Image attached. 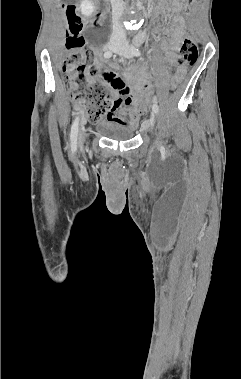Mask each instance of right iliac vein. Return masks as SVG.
Listing matches in <instances>:
<instances>
[{"mask_svg": "<svg viewBox=\"0 0 241 379\" xmlns=\"http://www.w3.org/2000/svg\"><path fill=\"white\" fill-rule=\"evenodd\" d=\"M108 48L110 50L116 51L119 48V44L118 43H110ZM86 135H87L86 130L84 128H82L80 133H79V141L83 142Z\"/></svg>", "mask_w": 241, "mask_h": 379, "instance_id": "right-iliac-vein-1", "label": "right iliac vein"}]
</instances>
